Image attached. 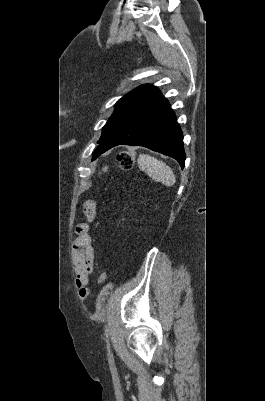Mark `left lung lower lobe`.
<instances>
[{
    "label": "left lung lower lobe",
    "mask_w": 265,
    "mask_h": 401,
    "mask_svg": "<svg viewBox=\"0 0 265 401\" xmlns=\"http://www.w3.org/2000/svg\"><path fill=\"white\" fill-rule=\"evenodd\" d=\"M117 145L144 146L176 159L184 167L183 134L170 104L160 95L128 118L104 139L93 154V160Z\"/></svg>",
    "instance_id": "obj_1"
}]
</instances>
